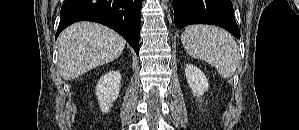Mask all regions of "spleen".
Instances as JSON below:
<instances>
[{"mask_svg":"<svg viewBox=\"0 0 299 130\" xmlns=\"http://www.w3.org/2000/svg\"><path fill=\"white\" fill-rule=\"evenodd\" d=\"M185 51L193 58L215 67L224 79L231 78L240 60L238 45L222 28L196 24L188 26L181 35Z\"/></svg>","mask_w":299,"mask_h":130,"instance_id":"obj_1","label":"spleen"}]
</instances>
